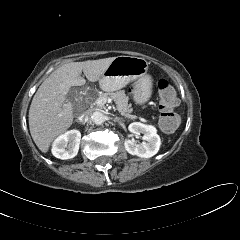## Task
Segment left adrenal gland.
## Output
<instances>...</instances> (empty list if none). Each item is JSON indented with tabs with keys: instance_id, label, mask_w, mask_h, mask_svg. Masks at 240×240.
<instances>
[{
	"instance_id": "left-adrenal-gland-1",
	"label": "left adrenal gland",
	"mask_w": 240,
	"mask_h": 240,
	"mask_svg": "<svg viewBox=\"0 0 240 240\" xmlns=\"http://www.w3.org/2000/svg\"><path fill=\"white\" fill-rule=\"evenodd\" d=\"M115 120H116V121H120V120H122V119H120V118H115Z\"/></svg>"
}]
</instances>
